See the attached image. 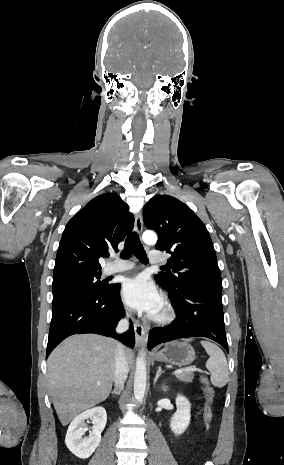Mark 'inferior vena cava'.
I'll return each instance as SVG.
<instances>
[{"mask_svg":"<svg viewBox=\"0 0 284 465\" xmlns=\"http://www.w3.org/2000/svg\"><path fill=\"white\" fill-rule=\"evenodd\" d=\"M128 327V319H122V321H119L116 331L117 333H124V331H127ZM116 345L114 381L117 389H123L129 369L125 359L123 345H121V343H116Z\"/></svg>","mask_w":284,"mask_h":465,"instance_id":"obj_1","label":"inferior vena cava"}]
</instances>
